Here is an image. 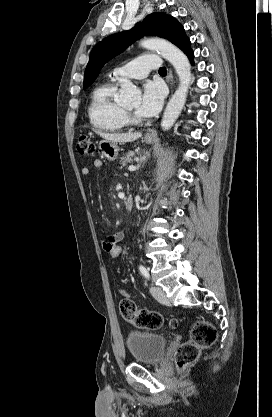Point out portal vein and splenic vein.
<instances>
[{
  "mask_svg": "<svg viewBox=\"0 0 272 417\" xmlns=\"http://www.w3.org/2000/svg\"><path fill=\"white\" fill-rule=\"evenodd\" d=\"M128 170H129V171H135V170H136V167H134V166H129V167H128Z\"/></svg>",
  "mask_w": 272,
  "mask_h": 417,
  "instance_id": "obj_1",
  "label": "portal vein and splenic vein"
}]
</instances>
